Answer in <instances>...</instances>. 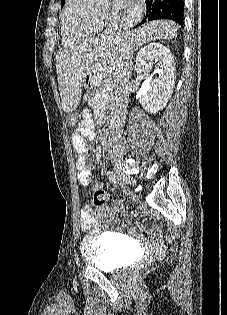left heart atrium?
I'll return each mask as SVG.
<instances>
[{"label": "left heart atrium", "instance_id": "1", "mask_svg": "<svg viewBox=\"0 0 227 315\" xmlns=\"http://www.w3.org/2000/svg\"><path fill=\"white\" fill-rule=\"evenodd\" d=\"M128 0H114V4L117 6H123L127 4Z\"/></svg>", "mask_w": 227, "mask_h": 315}]
</instances>
